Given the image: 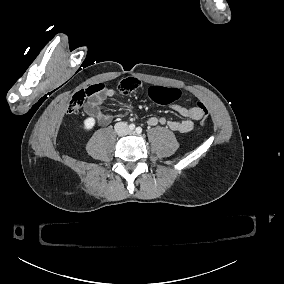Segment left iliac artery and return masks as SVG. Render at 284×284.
Returning <instances> with one entry per match:
<instances>
[{
  "label": "left iliac artery",
  "instance_id": "1",
  "mask_svg": "<svg viewBox=\"0 0 284 284\" xmlns=\"http://www.w3.org/2000/svg\"><path fill=\"white\" fill-rule=\"evenodd\" d=\"M136 133L137 134H141L142 133V128L141 127H137L136 128Z\"/></svg>",
  "mask_w": 284,
  "mask_h": 284
}]
</instances>
